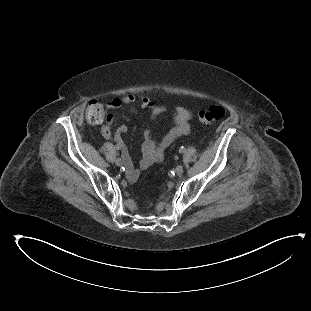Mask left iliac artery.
<instances>
[{"label":"left iliac artery","instance_id":"44dca946","mask_svg":"<svg viewBox=\"0 0 311 311\" xmlns=\"http://www.w3.org/2000/svg\"><path fill=\"white\" fill-rule=\"evenodd\" d=\"M179 152H180V153H184V152H185L184 146H182V147L179 149Z\"/></svg>","mask_w":311,"mask_h":311}]
</instances>
